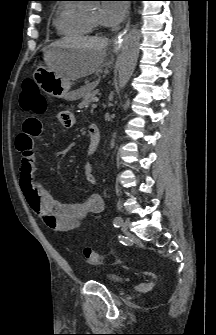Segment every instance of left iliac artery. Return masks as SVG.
<instances>
[{"mask_svg": "<svg viewBox=\"0 0 216 335\" xmlns=\"http://www.w3.org/2000/svg\"><path fill=\"white\" fill-rule=\"evenodd\" d=\"M121 223H122V218L121 217H116L113 221L114 227H117V228L120 227Z\"/></svg>", "mask_w": 216, "mask_h": 335, "instance_id": "44dca946", "label": "left iliac artery"}]
</instances>
